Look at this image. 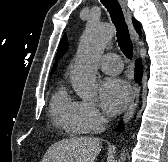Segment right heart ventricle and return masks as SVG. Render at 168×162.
I'll return each mask as SVG.
<instances>
[{"mask_svg":"<svg viewBox=\"0 0 168 162\" xmlns=\"http://www.w3.org/2000/svg\"><path fill=\"white\" fill-rule=\"evenodd\" d=\"M78 104L63 84L57 87L50 104V112L55 123L73 135L89 132L78 118Z\"/></svg>","mask_w":168,"mask_h":162,"instance_id":"e07e8e85","label":"right heart ventricle"}]
</instances>
